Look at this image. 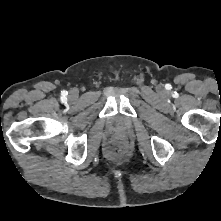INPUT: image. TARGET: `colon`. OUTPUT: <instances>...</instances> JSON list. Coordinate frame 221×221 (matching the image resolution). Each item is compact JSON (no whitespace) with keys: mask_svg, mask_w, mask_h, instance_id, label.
Wrapping results in <instances>:
<instances>
[{"mask_svg":"<svg viewBox=\"0 0 221 221\" xmlns=\"http://www.w3.org/2000/svg\"><path fill=\"white\" fill-rule=\"evenodd\" d=\"M126 149L127 145L125 142L119 140L113 141L108 147V155L110 157H116L123 154L126 151Z\"/></svg>","mask_w":221,"mask_h":221,"instance_id":"5ec220e1","label":"colon"}]
</instances>
